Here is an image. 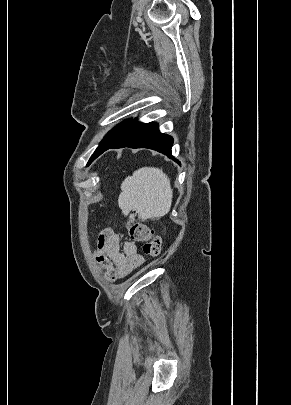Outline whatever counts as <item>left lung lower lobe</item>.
<instances>
[{
  "instance_id": "0a47b994",
  "label": "left lung lower lobe",
  "mask_w": 291,
  "mask_h": 405,
  "mask_svg": "<svg viewBox=\"0 0 291 405\" xmlns=\"http://www.w3.org/2000/svg\"><path fill=\"white\" fill-rule=\"evenodd\" d=\"M172 145L173 138L161 133L157 123H142L134 120L130 122L124 133L115 142L99 150L95 154L94 159L111 148H149L165 154L167 157L172 158L180 164V162L172 156Z\"/></svg>"
}]
</instances>
